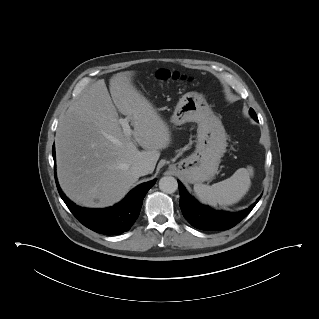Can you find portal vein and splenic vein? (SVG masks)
I'll use <instances>...</instances> for the list:
<instances>
[{
  "label": "portal vein and splenic vein",
  "instance_id": "18ae733b",
  "mask_svg": "<svg viewBox=\"0 0 319 319\" xmlns=\"http://www.w3.org/2000/svg\"><path fill=\"white\" fill-rule=\"evenodd\" d=\"M118 122L121 124L125 136L131 137L133 131L129 126V118L119 119Z\"/></svg>",
  "mask_w": 319,
  "mask_h": 319
}]
</instances>
